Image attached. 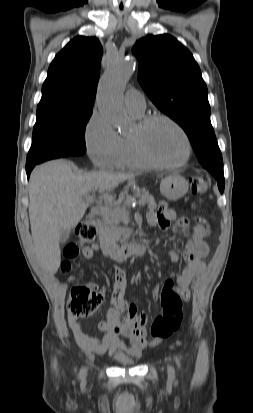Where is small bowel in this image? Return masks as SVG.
<instances>
[{
	"label": "small bowel",
	"instance_id": "small-bowel-1",
	"mask_svg": "<svg viewBox=\"0 0 253 413\" xmlns=\"http://www.w3.org/2000/svg\"><path fill=\"white\" fill-rule=\"evenodd\" d=\"M147 220L151 226H158L164 231H167L171 224L176 221H178L181 227H186L188 224L185 218L177 220L176 212L168 208L164 203L160 204L157 211L149 212ZM208 234L209 229L205 221L197 218L192 228L191 237L183 249V258L186 265L175 277L178 292L186 301L190 299L189 286L193 278L196 274L202 272L206 266L204 259L209 252V245L206 240ZM99 251L100 247L98 244L85 246L82 249L83 256L86 259L94 258ZM170 257L173 262L178 260V255L174 251H170ZM100 265L107 271L113 284V292L110 299L112 307L97 326L98 330L104 333L103 337L98 339L89 335L79 322V318L70 314H68L69 326L77 343L85 350L97 354L125 352L129 355L139 356L143 349L156 346L159 341L149 339L147 336V314H138L135 304L128 306L123 300L127 287L126 270L116 267L114 271H109L103 263H100ZM101 290L105 293L106 288L103 287ZM159 293L160 286L155 285L151 292L152 299L157 301ZM121 336L127 338L129 344H126L120 338Z\"/></svg>",
	"mask_w": 253,
	"mask_h": 413
}]
</instances>
